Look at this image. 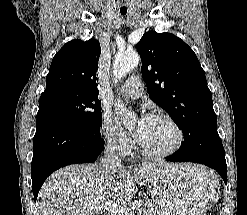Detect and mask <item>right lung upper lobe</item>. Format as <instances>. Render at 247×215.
Here are the masks:
<instances>
[{
	"label": "right lung upper lobe",
	"mask_w": 247,
	"mask_h": 215,
	"mask_svg": "<svg viewBox=\"0 0 247 215\" xmlns=\"http://www.w3.org/2000/svg\"><path fill=\"white\" fill-rule=\"evenodd\" d=\"M100 54V44L95 39L67 42L53 57L45 91L66 88L98 95L96 70Z\"/></svg>",
	"instance_id": "obj_1"
}]
</instances>
